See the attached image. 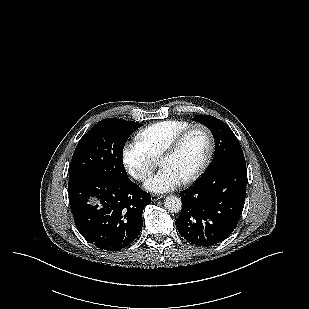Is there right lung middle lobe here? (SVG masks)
I'll list each match as a JSON object with an SVG mask.
<instances>
[{
	"mask_svg": "<svg viewBox=\"0 0 309 309\" xmlns=\"http://www.w3.org/2000/svg\"><path fill=\"white\" fill-rule=\"evenodd\" d=\"M141 124L116 118L104 119L91 128L74 151L69 181L87 174H98L119 182L128 181L122 154L129 136Z\"/></svg>",
	"mask_w": 309,
	"mask_h": 309,
	"instance_id": "1",
	"label": "right lung middle lobe"
}]
</instances>
